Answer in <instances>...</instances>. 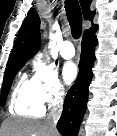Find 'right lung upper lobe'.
<instances>
[{"instance_id":"obj_1","label":"right lung upper lobe","mask_w":117,"mask_h":136,"mask_svg":"<svg viewBox=\"0 0 117 136\" xmlns=\"http://www.w3.org/2000/svg\"><path fill=\"white\" fill-rule=\"evenodd\" d=\"M79 1L84 19L92 21L95 15V11L90 10L92 0ZM97 28L96 24H92L91 28L85 30L84 33L95 31ZM40 44V19L36 10L31 8L19 30L8 63L17 60H29L37 53Z\"/></svg>"}]
</instances>
